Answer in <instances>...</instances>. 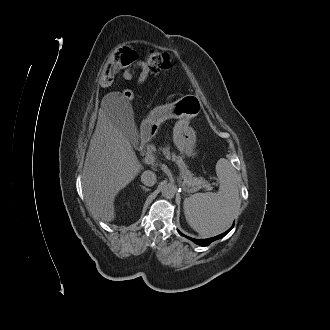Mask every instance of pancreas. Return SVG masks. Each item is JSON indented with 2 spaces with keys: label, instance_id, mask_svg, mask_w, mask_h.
<instances>
[{
  "label": "pancreas",
  "instance_id": "cf45deb5",
  "mask_svg": "<svg viewBox=\"0 0 330 330\" xmlns=\"http://www.w3.org/2000/svg\"><path fill=\"white\" fill-rule=\"evenodd\" d=\"M162 154L167 158L174 161L180 168V178L183 180V183L188 188L199 190L200 188L210 189V184L202 178L195 177L190 170H188L187 165L183 161L181 156L176 155L174 152H170V146L167 145L164 148H160Z\"/></svg>",
  "mask_w": 330,
  "mask_h": 330
}]
</instances>
